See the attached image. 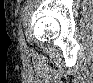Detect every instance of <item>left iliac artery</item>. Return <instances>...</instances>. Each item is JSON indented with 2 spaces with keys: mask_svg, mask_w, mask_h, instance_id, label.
<instances>
[{
  "mask_svg": "<svg viewBox=\"0 0 93 83\" xmlns=\"http://www.w3.org/2000/svg\"><path fill=\"white\" fill-rule=\"evenodd\" d=\"M18 35H19L20 44L24 45L25 44V39H24V36H23V33H22L21 25H19Z\"/></svg>",
  "mask_w": 93,
  "mask_h": 83,
  "instance_id": "44dca946",
  "label": "left iliac artery"
}]
</instances>
